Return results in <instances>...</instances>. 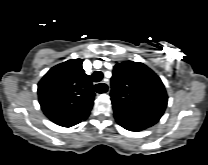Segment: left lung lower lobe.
<instances>
[{
	"instance_id": "1",
	"label": "left lung lower lobe",
	"mask_w": 208,
	"mask_h": 165,
	"mask_svg": "<svg viewBox=\"0 0 208 165\" xmlns=\"http://www.w3.org/2000/svg\"><path fill=\"white\" fill-rule=\"evenodd\" d=\"M117 123L129 131H141V130L146 129V127L141 126V125H133V124H129V123L121 122V121H117Z\"/></svg>"
}]
</instances>
